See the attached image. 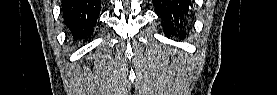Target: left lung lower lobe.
<instances>
[{"label":"left lung lower lobe","instance_id":"left-lung-lower-lobe-1","mask_svg":"<svg viewBox=\"0 0 277 95\" xmlns=\"http://www.w3.org/2000/svg\"><path fill=\"white\" fill-rule=\"evenodd\" d=\"M155 12L163 21L165 35L170 38L176 32L186 37L188 17L192 4L189 0H152Z\"/></svg>","mask_w":277,"mask_h":95}]
</instances>
